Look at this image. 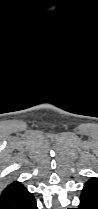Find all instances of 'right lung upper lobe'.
<instances>
[{
	"label": "right lung upper lobe",
	"mask_w": 98,
	"mask_h": 209,
	"mask_svg": "<svg viewBox=\"0 0 98 209\" xmlns=\"http://www.w3.org/2000/svg\"><path fill=\"white\" fill-rule=\"evenodd\" d=\"M23 185L20 182L14 181L10 183L4 191L0 194V201L6 199L9 195L13 194L14 192L20 190Z\"/></svg>",
	"instance_id": "cb5924a9"
}]
</instances>
